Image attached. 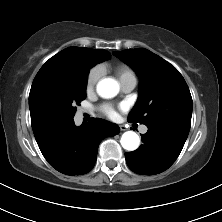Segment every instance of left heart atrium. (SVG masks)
Segmentation results:
<instances>
[{
	"mask_svg": "<svg viewBox=\"0 0 222 222\" xmlns=\"http://www.w3.org/2000/svg\"><path fill=\"white\" fill-rule=\"evenodd\" d=\"M118 109L124 110L125 105H119ZM102 112L110 118H115L117 116V109L111 104H105L102 106Z\"/></svg>",
	"mask_w": 222,
	"mask_h": 222,
	"instance_id": "left-heart-atrium-1",
	"label": "left heart atrium"
}]
</instances>
